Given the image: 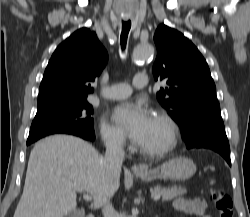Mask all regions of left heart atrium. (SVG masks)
I'll list each match as a JSON object with an SVG mask.
<instances>
[{"label":"left heart atrium","mask_w":250,"mask_h":217,"mask_svg":"<svg viewBox=\"0 0 250 217\" xmlns=\"http://www.w3.org/2000/svg\"><path fill=\"white\" fill-rule=\"evenodd\" d=\"M113 119L134 142L140 144L150 126L152 116L141 104L125 103L115 108Z\"/></svg>","instance_id":"39dd6f15"}]
</instances>
